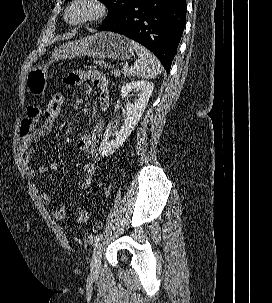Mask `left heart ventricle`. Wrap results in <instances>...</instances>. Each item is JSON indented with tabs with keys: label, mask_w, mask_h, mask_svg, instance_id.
Listing matches in <instances>:
<instances>
[{
	"label": "left heart ventricle",
	"mask_w": 272,
	"mask_h": 303,
	"mask_svg": "<svg viewBox=\"0 0 272 303\" xmlns=\"http://www.w3.org/2000/svg\"><path fill=\"white\" fill-rule=\"evenodd\" d=\"M90 10L91 8L87 5H78L72 10L71 17L73 19H79L86 16Z\"/></svg>",
	"instance_id": "1"
}]
</instances>
